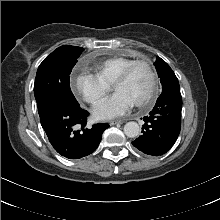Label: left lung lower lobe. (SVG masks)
I'll use <instances>...</instances> for the list:
<instances>
[{"mask_svg":"<svg viewBox=\"0 0 220 220\" xmlns=\"http://www.w3.org/2000/svg\"><path fill=\"white\" fill-rule=\"evenodd\" d=\"M181 109L180 89L162 92L149 116L144 117L143 134L132 144L148 155L165 154L179 136Z\"/></svg>","mask_w":220,"mask_h":220,"instance_id":"obj_1","label":"left lung lower lobe"}]
</instances>
